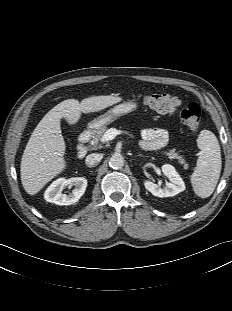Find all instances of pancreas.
Segmentation results:
<instances>
[{
	"label": "pancreas",
	"instance_id": "1",
	"mask_svg": "<svg viewBox=\"0 0 232 311\" xmlns=\"http://www.w3.org/2000/svg\"><path fill=\"white\" fill-rule=\"evenodd\" d=\"M106 132H107V127L104 126L92 135L90 143L94 147V149L102 147L101 144H99V142L102 141V137ZM164 154L171 160L177 159L180 164H182L184 166L187 165L185 163L184 158L181 155H179V153L175 152L174 149L169 150L168 152H164Z\"/></svg>",
	"mask_w": 232,
	"mask_h": 311
}]
</instances>
